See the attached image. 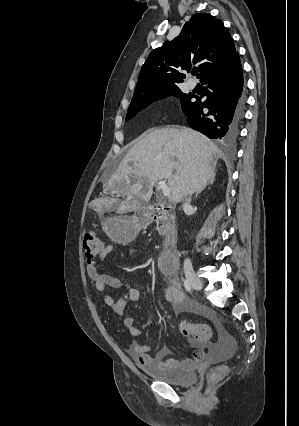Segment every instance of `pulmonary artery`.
I'll use <instances>...</instances> for the list:
<instances>
[{
  "label": "pulmonary artery",
  "instance_id": "e3ab8cb5",
  "mask_svg": "<svg viewBox=\"0 0 299 426\" xmlns=\"http://www.w3.org/2000/svg\"><path fill=\"white\" fill-rule=\"evenodd\" d=\"M188 86H189L190 88H194V87L196 86L195 81H193V80H189V81H188Z\"/></svg>",
  "mask_w": 299,
  "mask_h": 426
}]
</instances>
